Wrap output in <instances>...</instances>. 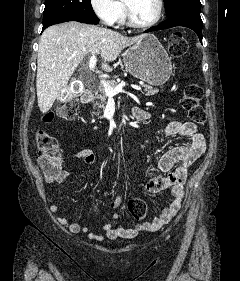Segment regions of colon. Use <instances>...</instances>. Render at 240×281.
<instances>
[{
  "instance_id": "5ec220e1",
  "label": "colon",
  "mask_w": 240,
  "mask_h": 281,
  "mask_svg": "<svg viewBox=\"0 0 240 281\" xmlns=\"http://www.w3.org/2000/svg\"><path fill=\"white\" fill-rule=\"evenodd\" d=\"M188 45L184 36L177 32L172 34L169 40V51L175 57H182L187 53ZM203 90L196 83L187 84L183 90L181 105L187 112L189 119L197 125L203 126L206 122V114L201 106ZM77 114L75 100H66L58 104L54 112L45 116L44 121L50 122L55 117L64 120H73ZM36 143L40 154L39 163L46 175H55L60 167V147L57 139L45 130L36 133ZM130 214L136 220H142L146 216V203L140 198H131L127 202Z\"/></svg>"
}]
</instances>
